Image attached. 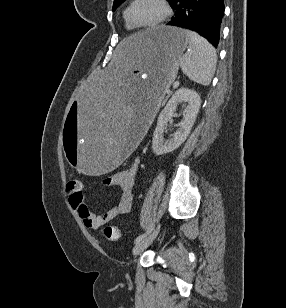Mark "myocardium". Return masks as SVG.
<instances>
[{
	"mask_svg": "<svg viewBox=\"0 0 286 308\" xmlns=\"http://www.w3.org/2000/svg\"><path fill=\"white\" fill-rule=\"evenodd\" d=\"M138 0H132L126 11H125V19L127 21V23L133 28V29H151V28H155L160 26L162 23H164L167 18L170 16L171 14V9L170 6L167 2V0H158V3L160 4L161 8H162V15L154 22L149 23V24H144V25H137L135 24L132 19H131V9L133 7V5L137 2Z\"/></svg>",
	"mask_w": 286,
	"mask_h": 308,
	"instance_id": "myocardium-1",
	"label": "myocardium"
}]
</instances>
